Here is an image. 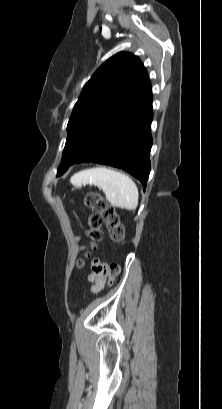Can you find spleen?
Instances as JSON below:
<instances>
[{
    "instance_id": "1",
    "label": "spleen",
    "mask_w": 222,
    "mask_h": 409,
    "mask_svg": "<svg viewBox=\"0 0 222 409\" xmlns=\"http://www.w3.org/2000/svg\"><path fill=\"white\" fill-rule=\"evenodd\" d=\"M70 182L75 187L91 184L100 187L108 202L117 208L135 210L139 193L135 182L126 174L106 167H95L75 173Z\"/></svg>"
}]
</instances>
